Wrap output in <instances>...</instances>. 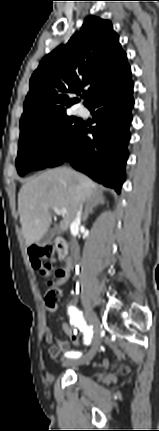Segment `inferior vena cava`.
<instances>
[{"instance_id": "602c4592", "label": "inferior vena cava", "mask_w": 159, "mask_h": 431, "mask_svg": "<svg viewBox=\"0 0 159 431\" xmlns=\"http://www.w3.org/2000/svg\"><path fill=\"white\" fill-rule=\"evenodd\" d=\"M81 212H82V205L80 206V208H79V210H78V212L76 214V218L73 221V224H77V223L80 222ZM72 243H73L74 256L77 257L79 255V245H78V243H77L76 240H73Z\"/></svg>"}]
</instances>
